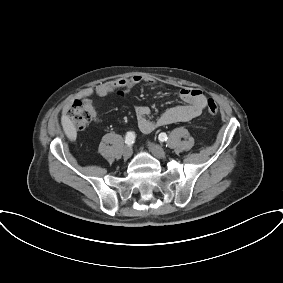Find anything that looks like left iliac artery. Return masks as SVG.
<instances>
[{"label":"left iliac artery","instance_id":"44dca946","mask_svg":"<svg viewBox=\"0 0 283 283\" xmlns=\"http://www.w3.org/2000/svg\"><path fill=\"white\" fill-rule=\"evenodd\" d=\"M158 139L161 142H164V141H166L168 139V137H167L166 133L162 132V133L159 134Z\"/></svg>","mask_w":283,"mask_h":283}]
</instances>
